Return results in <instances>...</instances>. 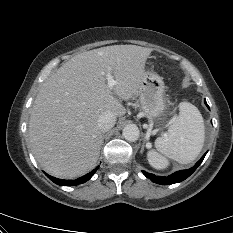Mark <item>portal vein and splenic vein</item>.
<instances>
[{"instance_id": "portal-vein-and-splenic-vein-1", "label": "portal vein and splenic vein", "mask_w": 233, "mask_h": 233, "mask_svg": "<svg viewBox=\"0 0 233 233\" xmlns=\"http://www.w3.org/2000/svg\"><path fill=\"white\" fill-rule=\"evenodd\" d=\"M107 84L109 88H113V86L116 84V81L114 80V77L111 73H107Z\"/></svg>"}]
</instances>
